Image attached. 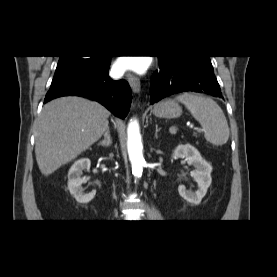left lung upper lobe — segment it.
<instances>
[{"instance_id": "5c2ea615", "label": "left lung upper lobe", "mask_w": 277, "mask_h": 277, "mask_svg": "<svg viewBox=\"0 0 277 277\" xmlns=\"http://www.w3.org/2000/svg\"><path fill=\"white\" fill-rule=\"evenodd\" d=\"M159 60H168V59H177L180 58L184 61L187 60H194V61H208L210 62V56H194V55H182V56H168V55H161L158 56Z\"/></svg>"}]
</instances>
